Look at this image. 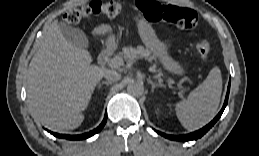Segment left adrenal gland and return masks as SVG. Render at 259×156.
<instances>
[{
  "label": "left adrenal gland",
  "mask_w": 259,
  "mask_h": 156,
  "mask_svg": "<svg viewBox=\"0 0 259 156\" xmlns=\"http://www.w3.org/2000/svg\"><path fill=\"white\" fill-rule=\"evenodd\" d=\"M147 82H148L149 84H151V89H152V91H154V89H155L156 87H163V88H165V85H164V84H162V83H155V82H153V81L151 80L150 77L147 79Z\"/></svg>",
  "instance_id": "1"
}]
</instances>
